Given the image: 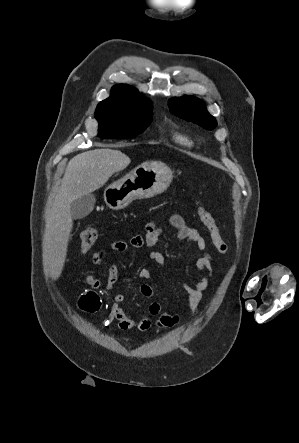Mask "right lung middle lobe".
I'll return each instance as SVG.
<instances>
[{
	"label": "right lung middle lobe",
	"mask_w": 299,
	"mask_h": 443,
	"mask_svg": "<svg viewBox=\"0 0 299 443\" xmlns=\"http://www.w3.org/2000/svg\"><path fill=\"white\" fill-rule=\"evenodd\" d=\"M152 108L116 102H100L95 111L102 139H128L142 133L151 123Z\"/></svg>",
	"instance_id": "obj_1"
}]
</instances>
